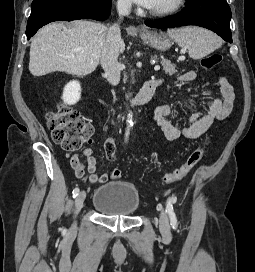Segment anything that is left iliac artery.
<instances>
[{
	"label": "left iliac artery",
	"instance_id": "left-iliac-artery-1",
	"mask_svg": "<svg viewBox=\"0 0 255 272\" xmlns=\"http://www.w3.org/2000/svg\"><path fill=\"white\" fill-rule=\"evenodd\" d=\"M176 201V197L175 196H171L168 198L167 200V205H166V209H167V212H168V215H169V218H170V222H171V226L173 229H176L177 228V218H176V215L174 213V210H173V203H175Z\"/></svg>",
	"mask_w": 255,
	"mask_h": 272
}]
</instances>
